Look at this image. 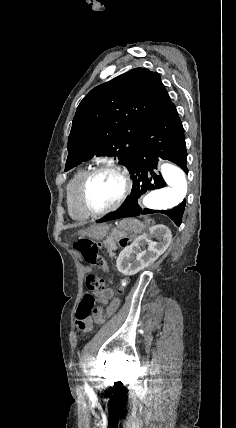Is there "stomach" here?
Here are the masks:
<instances>
[{"label": "stomach", "instance_id": "stomach-1", "mask_svg": "<svg viewBox=\"0 0 236 428\" xmlns=\"http://www.w3.org/2000/svg\"><path fill=\"white\" fill-rule=\"evenodd\" d=\"M108 226H103V224H100V226H91L87 232H84L88 238H93V240H103L105 236L108 234Z\"/></svg>", "mask_w": 236, "mask_h": 428}]
</instances>
